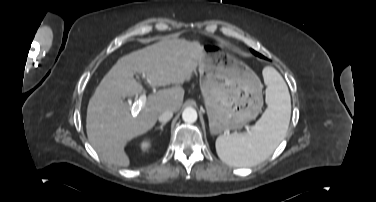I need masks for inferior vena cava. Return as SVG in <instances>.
Segmentation results:
<instances>
[{
    "instance_id": "obj_1",
    "label": "inferior vena cava",
    "mask_w": 376,
    "mask_h": 202,
    "mask_svg": "<svg viewBox=\"0 0 376 202\" xmlns=\"http://www.w3.org/2000/svg\"><path fill=\"white\" fill-rule=\"evenodd\" d=\"M173 117V111L172 110H165L160 116L159 121L162 123L168 122Z\"/></svg>"
}]
</instances>
